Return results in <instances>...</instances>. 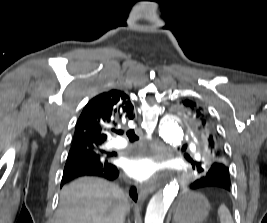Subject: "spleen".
Here are the masks:
<instances>
[{
	"mask_svg": "<svg viewBox=\"0 0 267 223\" xmlns=\"http://www.w3.org/2000/svg\"><path fill=\"white\" fill-rule=\"evenodd\" d=\"M220 223H234L228 208L221 204L218 208Z\"/></svg>",
	"mask_w": 267,
	"mask_h": 223,
	"instance_id": "3e777b00",
	"label": "spleen"
}]
</instances>
